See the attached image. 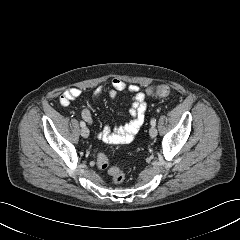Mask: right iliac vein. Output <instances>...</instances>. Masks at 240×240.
<instances>
[{
	"label": "right iliac vein",
	"instance_id": "1",
	"mask_svg": "<svg viewBox=\"0 0 240 240\" xmlns=\"http://www.w3.org/2000/svg\"><path fill=\"white\" fill-rule=\"evenodd\" d=\"M89 129L88 128H86V127H84V128H82V130H81V135L84 137V138H87L88 136H89Z\"/></svg>",
	"mask_w": 240,
	"mask_h": 240
}]
</instances>
